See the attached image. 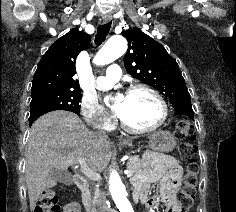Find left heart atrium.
<instances>
[{
	"label": "left heart atrium",
	"instance_id": "obj_1",
	"mask_svg": "<svg viewBox=\"0 0 236 212\" xmlns=\"http://www.w3.org/2000/svg\"><path fill=\"white\" fill-rule=\"evenodd\" d=\"M124 96L119 95L117 96L115 103H114V110L120 115L122 110V103H123Z\"/></svg>",
	"mask_w": 236,
	"mask_h": 212
}]
</instances>
